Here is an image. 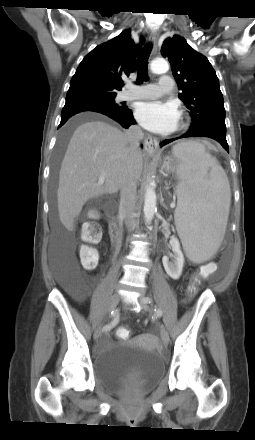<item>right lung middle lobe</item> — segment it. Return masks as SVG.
I'll return each instance as SVG.
<instances>
[{
    "label": "right lung middle lobe",
    "instance_id": "obj_1",
    "mask_svg": "<svg viewBox=\"0 0 255 440\" xmlns=\"http://www.w3.org/2000/svg\"><path fill=\"white\" fill-rule=\"evenodd\" d=\"M115 96H116L115 93L114 94H91V95H89L88 98L105 101L107 103H110L112 105L117 106V104H115V101H114ZM66 136H67V132H64L62 135L61 142H60V148L64 145V143L66 141Z\"/></svg>",
    "mask_w": 255,
    "mask_h": 440
}]
</instances>
